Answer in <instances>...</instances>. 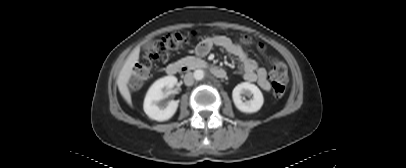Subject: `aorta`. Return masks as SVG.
I'll return each mask as SVG.
<instances>
[{
  "label": "aorta",
  "mask_w": 406,
  "mask_h": 168,
  "mask_svg": "<svg viewBox=\"0 0 406 168\" xmlns=\"http://www.w3.org/2000/svg\"><path fill=\"white\" fill-rule=\"evenodd\" d=\"M194 78L196 79V80H202L203 78H204V71L202 70V69H197L195 72H194Z\"/></svg>",
  "instance_id": "aorta-1"
}]
</instances>
